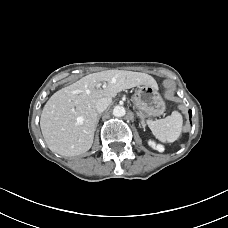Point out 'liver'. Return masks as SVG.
Listing matches in <instances>:
<instances>
[{
  "label": "liver",
  "mask_w": 228,
  "mask_h": 228,
  "mask_svg": "<svg viewBox=\"0 0 228 228\" xmlns=\"http://www.w3.org/2000/svg\"><path fill=\"white\" fill-rule=\"evenodd\" d=\"M100 82L105 87L100 88ZM139 85L158 88L146 74L124 70H106L89 74L54 93L43 107L40 127L48 148L62 156H76L88 151L97 123L96 103L113 98L118 92Z\"/></svg>",
  "instance_id": "liver-1"
}]
</instances>
